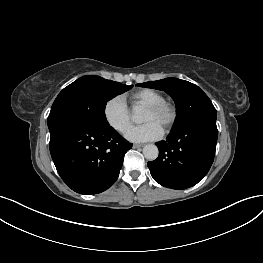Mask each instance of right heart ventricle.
<instances>
[{
  "mask_svg": "<svg viewBox=\"0 0 263 263\" xmlns=\"http://www.w3.org/2000/svg\"><path fill=\"white\" fill-rule=\"evenodd\" d=\"M130 99L135 103V104H143L145 106H148L150 104H154L160 101L164 100V96L150 88H142L134 91L133 93L130 94Z\"/></svg>",
  "mask_w": 263,
  "mask_h": 263,
  "instance_id": "right-heart-ventricle-1",
  "label": "right heart ventricle"
}]
</instances>
